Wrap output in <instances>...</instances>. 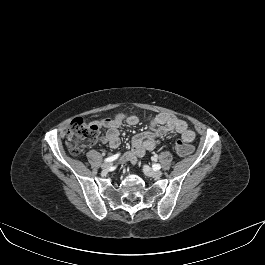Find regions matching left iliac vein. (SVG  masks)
<instances>
[{
  "mask_svg": "<svg viewBox=\"0 0 265 265\" xmlns=\"http://www.w3.org/2000/svg\"><path fill=\"white\" fill-rule=\"evenodd\" d=\"M143 172L145 173V175H147L148 177H152V178H160L162 176L161 171L153 170L152 168H150L147 165L143 166Z\"/></svg>",
  "mask_w": 265,
  "mask_h": 265,
  "instance_id": "left-iliac-vein-1",
  "label": "left iliac vein"
}]
</instances>
